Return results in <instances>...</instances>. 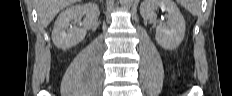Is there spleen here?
<instances>
[{
    "mask_svg": "<svg viewBox=\"0 0 232 96\" xmlns=\"http://www.w3.org/2000/svg\"><path fill=\"white\" fill-rule=\"evenodd\" d=\"M177 2L180 3L192 15H198L201 12L199 0H178Z\"/></svg>",
    "mask_w": 232,
    "mask_h": 96,
    "instance_id": "obj_1",
    "label": "spleen"
}]
</instances>
